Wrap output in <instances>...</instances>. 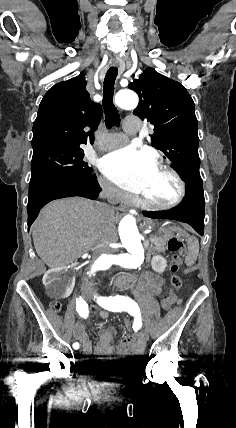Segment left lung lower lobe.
<instances>
[{"label":"left lung lower lobe","instance_id":"left-lung-lower-lobe-1","mask_svg":"<svg viewBox=\"0 0 236 428\" xmlns=\"http://www.w3.org/2000/svg\"><path fill=\"white\" fill-rule=\"evenodd\" d=\"M205 199L202 183L186 185L183 202L166 211H144L143 215L152 219H172L191 225L200 235L204 233Z\"/></svg>","mask_w":236,"mask_h":428}]
</instances>
